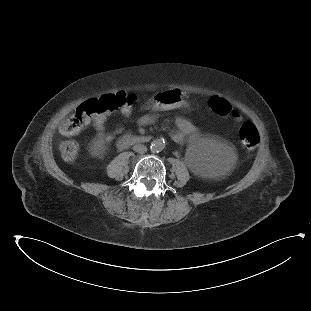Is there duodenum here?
I'll return each mask as SVG.
<instances>
[{"mask_svg": "<svg viewBox=\"0 0 311 311\" xmlns=\"http://www.w3.org/2000/svg\"><path fill=\"white\" fill-rule=\"evenodd\" d=\"M151 142L149 136L127 134L122 136L118 141V147L128 148L134 145H145Z\"/></svg>", "mask_w": 311, "mask_h": 311, "instance_id": "obj_1", "label": "duodenum"}]
</instances>
